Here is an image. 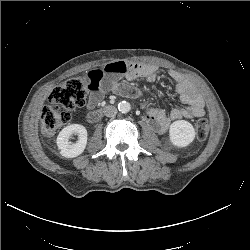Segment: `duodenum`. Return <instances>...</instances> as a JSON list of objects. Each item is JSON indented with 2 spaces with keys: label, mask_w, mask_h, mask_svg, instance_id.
<instances>
[{
  "label": "duodenum",
  "mask_w": 250,
  "mask_h": 250,
  "mask_svg": "<svg viewBox=\"0 0 250 250\" xmlns=\"http://www.w3.org/2000/svg\"><path fill=\"white\" fill-rule=\"evenodd\" d=\"M101 116L102 109L93 110L87 115V120L90 123H96L101 118Z\"/></svg>",
  "instance_id": "obj_1"
}]
</instances>
